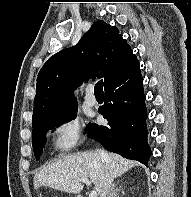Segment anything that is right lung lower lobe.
<instances>
[{"label":"right lung lower lobe","mask_w":191,"mask_h":197,"mask_svg":"<svg viewBox=\"0 0 191 197\" xmlns=\"http://www.w3.org/2000/svg\"><path fill=\"white\" fill-rule=\"evenodd\" d=\"M104 88L105 102L99 112L108 120V125L90 123L88 136L108 151L148 165L152 153L147 143V111L140 67Z\"/></svg>","instance_id":"right-lung-lower-lobe-1"}]
</instances>
